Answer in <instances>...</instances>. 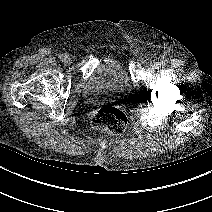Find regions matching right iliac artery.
Instances as JSON below:
<instances>
[{
	"mask_svg": "<svg viewBox=\"0 0 212 212\" xmlns=\"http://www.w3.org/2000/svg\"><path fill=\"white\" fill-rule=\"evenodd\" d=\"M66 57H67V56H66L65 54H61V55L59 56V59H60L61 61H64Z\"/></svg>",
	"mask_w": 212,
	"mask_h": 212,
	"instance_id": "1",
	"label": "right iliac artery"
}]
</instances>
